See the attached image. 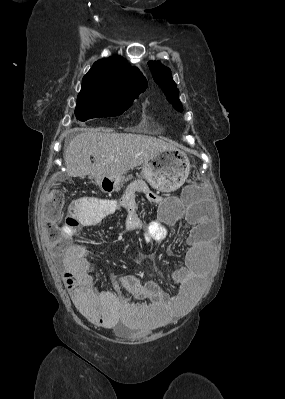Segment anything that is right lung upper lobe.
<instances>
[{
    "instance_id": "right-lung-upper-lobe-1",
    "label": "right lung upper lobe",
    "mask_w": 285,
    "mask_h": 399,
    "mask_svg": "<svg viewBox=\"0 0 285 399\" xmlns=\"http://www.w3.org/2000/svg\"><path fill=\"white\" fill-rule=\"evenodd\" d=\"M146 88L147 81L137 68L129 67L126 59L121 56H112L93 64L82 79L78 98L140 94Z\"/></svg>"
}]
</instances>
